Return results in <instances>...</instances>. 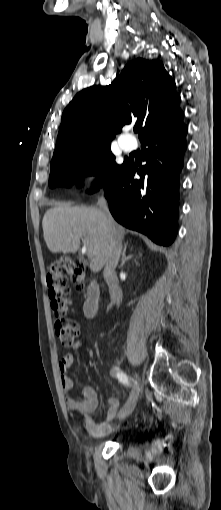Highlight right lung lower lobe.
Segmentation results:
<instances>
[{"label":"right lung lower lobe","mask_w":221,"mask_h":510,"mask_svg":"<svg viewBox=\"0 0 221 510\" xmlns=\"http://www.w3.org/2000/svg\"><path fill=\"white\" fill-rule=\"evenodd\" d=\"M187 126L176 125L149 133L140 141L146 165L126 161L104 187L113 217L123 226L169 246L177 234L180 172L186 150ZM140 176L134 178L135 173Z\"/></svg>","instance_id":"1"}]
</instances>
